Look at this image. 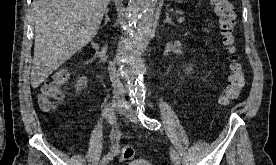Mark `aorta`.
<instances>
[{"mask_svg":"<svg viewBox=\"0 0 276 165\" xmlns=\"http://www.w3.org/2000/svg\"><path fill=\"white\" fill-rule=\"evenodd\" d=\"M157 1H129L124 37L120 44V71L129 83L133 98L138 101H143L145 98V90L142 83L145 65L141 54L148 45L152 34Z\"/></svg>","mask_w":276,"mask_h":165,"instance_id":"aorta-1","label":"aorta"}]
</instances>
